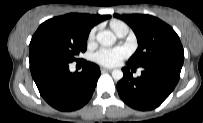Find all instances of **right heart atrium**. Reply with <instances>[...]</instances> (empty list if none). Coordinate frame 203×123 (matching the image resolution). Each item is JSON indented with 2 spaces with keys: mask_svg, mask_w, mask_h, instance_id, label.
<instances>
[{
  "mask_svg": "<svg viewBox=\"0 0 203 123\" xmlns=\"http://www.w3.org/2000/svg\"><path fill=\"white\" fill-rule=\"evenodd\" d=\"M94 38H95V30L93 29V30L90 32L89 36H88V41H89V42H92V41L94 40Z\"/></svg>",
  "mask_w": 203,
  "mask_h": 123,
  "instance_id": "right-heart-atrium-1",
  "label": "right heart atrium"
}]
</instances>
